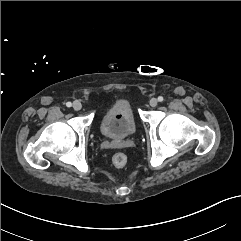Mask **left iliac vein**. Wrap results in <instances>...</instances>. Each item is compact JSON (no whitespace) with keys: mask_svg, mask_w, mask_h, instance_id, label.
Segmentation results:
<instances>
[{"mask_svg":"<svg viewBox=\"0 0 241 241\" xmlns=\"http://www.w3.org/2000/svg\"><path fill=\"white\" fill-rule=\"evenodd\" d=\"M149 103H150V106L156 107L158 104V101L156 98H152Z\"/></svg>","mask_w":241,"mask_h":241,"instance_id":"1","label":"left iliac vein"}]
</instances>
